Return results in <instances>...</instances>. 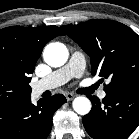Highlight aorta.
I'll return each mask as SVG.
<instances>
[{
  "mask_svg": "<svg viewBox=\"0 0 139 139\" xmlns=\"http://www.w3.org/2000/svg\"><path fill=\"white\" fill-rule=\"evenodd\" d=\"M45 62L52 67H60L67 62V47L59 42L48 44L43 52ZM73 109L80 115H86L91 110V102L88 98L79 96L73 100Z\"/></svg>",
  "mask_w": 139,
  "mask_h": 139,
  "instance_id": "1",
  "label": "aorta"
}]
</instances>
